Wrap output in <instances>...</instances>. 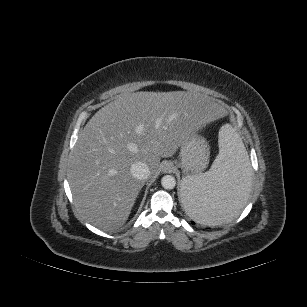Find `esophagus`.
<instances>
[{"mask_svg": "<svg viewBox=\"0 0 307 307\" xmlns=\"http://www.w3.org/2000/svg\"><path fill=\"white\" fill-rule=\"evenodd\" d=\"M173 165L171 163H166L163 168H162V172L163 173H171L173 172Z\"/></svg>", "mask_w": 307, "mask_h": 307, "instance_id": "esophagus-1", "label": "esophagus"}]
</instances>
